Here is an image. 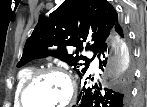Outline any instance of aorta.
<instances>
[{
    "label": "aorta",
    "mask_w": 147,
    "mask_h": 107,
    "mask_svg": "<svg viewBox=\"0 0 147 107\" xmlns=\"http://www.w3.org/2000/svg\"><path fill=\"white\" fill-rule=\"evenodd\" d=\"M112 43L113 48L101 82L103 88H116L130 74L131 53L128 47L118 36L112 39Z\"/></svg>",
    "instance_id": "1"
}]
</instances>
